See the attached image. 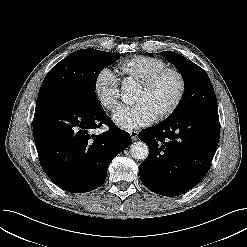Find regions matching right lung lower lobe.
<instances>
[{"instance_id": "98d812e1", "label": "right lung lower lobe", "mask_w": 247, "mask_h": 247, "mask_svg": "<svg viewBox=\"0 0 247 247\" xmlns=\"http://www.w3.org/2000/svg\"><path fill=\"white\" fill-rule=\"evenodd\" d=\"M107 125L99 135L93 129ZM33 135L41 166L60 188L84 193L101 186L112 159L131 137L115 126L103 108H92L63 91L38 95Z\"/></svg>"}]
</instances>
